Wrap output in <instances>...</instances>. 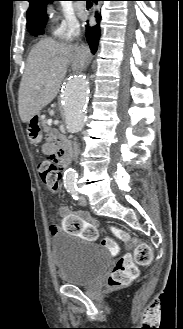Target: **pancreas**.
I'll use <instances>...</instances> for the list:
<instances>
[{"instance_id":"1","label":"pancreas","mask_w":183,"mask_h":329,"mask_svg":"<svg viewBox=\"0 0 183 329\" xmlns=\"http://www.w3.org/2000/svg\"><path fill=\"white\" fill-rule=\"evenodd\" d=\"M41 125L44 129L45 132H49L51 129L47 125V119L46 118H41Z\"/></svg>"}]
</instances>
